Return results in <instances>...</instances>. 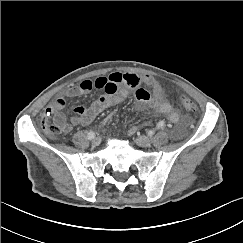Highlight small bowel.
Masks as SVG:
<instances>
[{
    "label": "small bowel",
    "mask_w": 243,
    "mask_h": 243,
    "mask_svg": "<svg viewBox=\"0 0 243 243\" xmlns=\"http://www.w3.org/2000/svg\"><path fill=\"white\" fill-rule=\"evenodd\" d=\"M140 81L151 87V94L144 89H137L134 93L135 101L139 104L150 101L153 107L158 112L167 115L172 123H178L180 115L169 103L162 101V89L159 83L150 75H144L140 78L134 73H111L95 79H84L57 96L47 107L45 114L55 113L62 109L65 105V97H79L92 90H100L101 96L90 105L81 104L73 107L74 115L71 117L70 123L65 122L66 131L77 125L88 126L101 112L121 104ZM136 131L137 128L131 126L128 129V134L134 135Z\"/></svg>",
    "instance_id": "1"
}]
</instances>
